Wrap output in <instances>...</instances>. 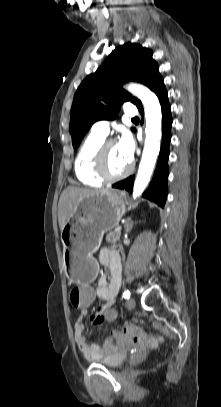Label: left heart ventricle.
Returning a JSON list of instances; mask_svg holds the SVG:
<instances>
[{
  "label": "left heart ventricle",
  "instance_id": "left-heart-ventricle-1",
  "mask_svg": "<svg viewBox=\"0 0 221 407\" xmlns=\"http://www.w3.org/2000/svg\"><path fill=\"white\" fill-rule=\"evenodd\" d=\"M130 161L124 157L117 143L111 145L106 153V168L112 175L122 173Z\"/></svg>",
  "mask_w": 221,
  "mask_h": 407
}]
</instances>
